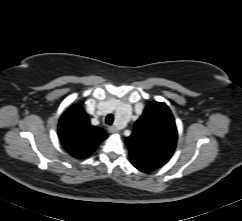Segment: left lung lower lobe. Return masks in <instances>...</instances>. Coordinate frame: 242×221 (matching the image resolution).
Wrapping results in <instances>:
<instances>
[{
	"mask_svg": "<svg viewBox=\"0 0 242 221\" xmlns=\"http://www.w3.org/2000/svg\"><path fill=\"white\" fill-rule=\"evenodd\" d=\"M132 164L134 167H136L137 169L143 172H151L158 168L156 166L147 165V164H137V163H132Z\"/></svg>",
	"mask_w": 242,
	"mask_h": 221,
	"instance_id": "obj_1",
	"label": "left lung lower lobe"
}]
</instances>
